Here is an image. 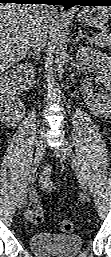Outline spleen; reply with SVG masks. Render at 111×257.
Here are the masks:
<instances>
[{"mask_svg":"<svg viewBox=\"0 0 111 257\" xmlns=\"http://www.w3.org/2000/svg\"><path fill=\"white\" fill-rule=\"evenodd\" d=\"M106 12H107V14H108V12H109V14H108V15H110V16H111V7H110V8H108V9H106Z\"/></svg>","mask_w":111,"mask_h":257,"instance_id":"obj_1","label":"spleen"}]
</instances>
